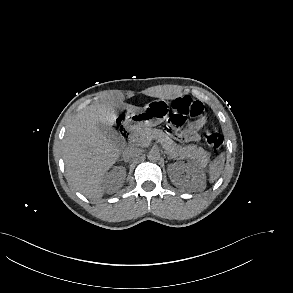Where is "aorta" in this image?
<instances>
[{
  "mask_svg": "<svg viewBox=\"0 0 293 293\" xmlns=\"http://www.w3.org/2000/svg\"><path fill=\"white\" fill-rule=\"evenodd\" d=\"M147 157L150 161L152 162H156L160 159L161 155H160V152L156 149H151L148 154H147Z\"/></svg>",
  "mask_w": 293,
  "mask_h": 293,
  "instance_id": "obj_1",
  "label": "aorta"
}]
</instances>
